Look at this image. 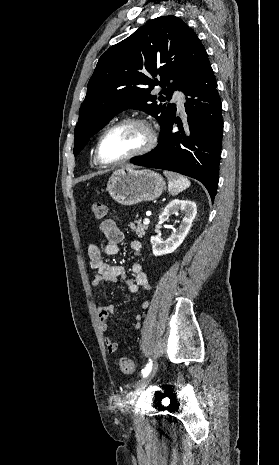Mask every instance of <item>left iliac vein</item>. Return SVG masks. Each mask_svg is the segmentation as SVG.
Segmentation results:
<instances>
[{
	"instance_id": "obj_1",
	"label": "left iliac vein",
	"mask_w": 279,
	"mask_h": 465,
	"mask_svg": "<svg viewBox=\"0 0 279 465\" xmlns=\"http://www.w3.org/2000/svg\"><path fill=\"white\" fill-rule=\"evenodd\" d=\"M157 369H158V363H155L154 366L152 367L151 371L148 373L147 376L143 377L138 383H137V386H136V390H135V393H134V398H136L138 395H140L141 393H143V391L145 390V388L147 387V385L149 384V382L153 379V377L155 376L156 372H157Z\"/></svg>"
}]
</instances>
